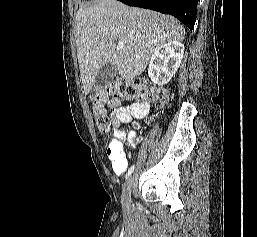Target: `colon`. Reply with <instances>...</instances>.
<instances>
[{
	"label": "colon",
	"instance_id": "5ec220e1",
	"mask_svg": "<svg viewBox=\"0 0 257 237\" xmlns=\"http://www.w3.org/2000/svg\"><path fill=\"white\" fill-rule=\"evenodd\" d=\"M166 95L165 91H159L142 81L118 80L100 89L94 98L93 115L96 126L101 133H107L112 121L110 111L123 101L154 100L158 96L166 97ZM111 96L113 98L110 99ZM118 138L122 139V136Z\"/></svg>",
	"mask_w": 257,
	"mask_h": 237
}]
</instances>
